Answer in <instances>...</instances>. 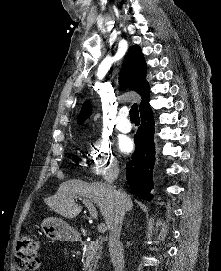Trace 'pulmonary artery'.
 Segmentation results:
<instances>
[{
  "label": "pulmonary artery",
  "instance_id": "e3ab8cb5",
  "mask_svg": "<svg viewBox=\"0 0 221 271\" xmlns=\"http://www.w3.org/2000/svg\"><path fill=\"white\" fill-rule=\"evenodd\" d=\"M114 117V125L117 126L121 132L127 133L130 131L128 128L122 127L130 126V117H127V112H114Z\"/></svg>",
  "mask_w": 221,
  "mask_h": 271
}]
</instances>
